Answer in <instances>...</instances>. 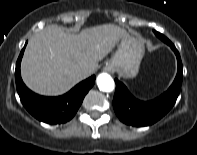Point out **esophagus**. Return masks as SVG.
I'll return each instance as SVG.
<instances>
[{"mask_svg":"<svg viewBox=\"0 0 197 155\" xmlns=\"http://www.w3.org/2000/svg\"><path fill=\"white\" fill-rule=\"evenodd\" d=\"M105 70H107L108 72H113L112 66H106Z\"/></svg>","mask_w":197,"mask_h":155,"instance_id":"obj_1","label":"esophagus"}]
</instances>
